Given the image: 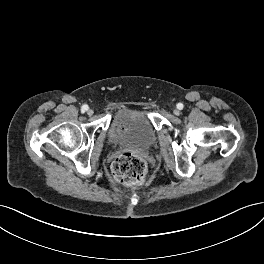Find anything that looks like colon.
Wrapping results in <instances>:
<instances>
[{
  "instance_id": "colon-1",
  "label": "colon",
  "mask_w": 264,
  "mask_h": 264,
  "mask_svg": "<svg viewBox=\"0 0 264 264\" xmlns=\"http://www.w3.org/2000/svg\"><path fill=\"white\" fill-rule=\"evenodd\" d=\"M147 173L146 162L133 153L119 155L112 164V174L115 181L125 187L141 185Z\"/></svg>"
}]
</instances>
